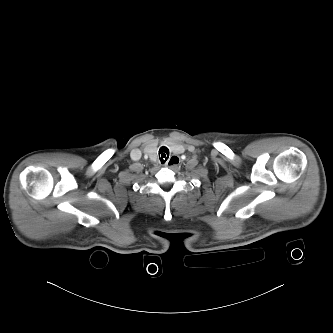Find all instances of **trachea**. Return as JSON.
Segmentation results:
<instances>
[{
	"mask_svg": "<svg viewBox=\"0 0 333 333\" xmlns=\"http://www.w3.org/2000/svg\"><path fill=\"white\" fill-rule=\"evenodd\" d=\"M169 154H170V151H169V149L167 147L162 146L159 149V159H160V161H161L162 164H164L166 162V160L169 157Z\"/></svg>",
	"mask_w": 333,
	"mask_h": 333,
	"instance_id": "trachea-1",
	"label": "trachea"
}]
</instances>
